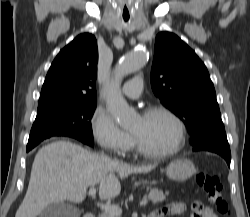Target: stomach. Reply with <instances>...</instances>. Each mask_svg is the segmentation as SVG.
Instances as JSON below:
<instances>
[{
  "instance_id": "obj_1",
  "label": "stomach",
  "mask_w": 250,
  "mask_h": 217,
  "mask_svg": "<svg viewBox=\"0 0 250 217\" xmlns=\"http://www.w3.org/2000/svg\"><path fill=\"white\" fill-rule=\"evenodd\" d=\"M194 173L195 166L187 159H179L171 162L166 168L167 177L178 182L189 179Z\"/></svg>"
}]
</instances>
